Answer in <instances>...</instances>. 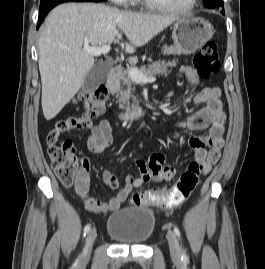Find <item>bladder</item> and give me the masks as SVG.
<instances>
[{
	"instance_id": "bladder-1",
	"label": "bladder",
	"mask_w": 265,
	"mask_h": 269,
	"mask_svg": "<svg viewBox=\"0 0 265 269\" xmlns=\"http://www.w3.org/2000/svg\"><path fill=\"white\" fill-rule=\"evenodd\" d=\"M155 225L152 209L127 206L108 217L106 232L120 244L144 245L154 234Z\"/></svg>"
}]
</instances>
